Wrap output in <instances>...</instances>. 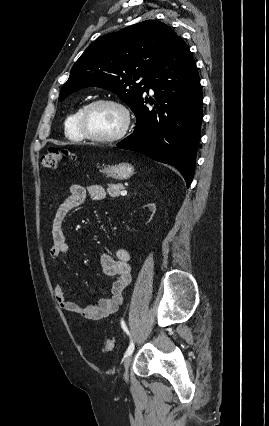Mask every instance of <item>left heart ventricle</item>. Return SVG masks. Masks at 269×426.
Instances as JSON below:
<instances>
[{
    "instance_id": "1",
    "label": "left heart ventricle",
    "mask_w": 269,
    "mask_h": 426,
    "mask_svg": "<svg viewBox=\"0 0 269 426\" xmlns=\"http://www.w3.org/2000/svg\"><path fill=\"white\" fill-rule=\"evenodd\" d=\"M121 112L110 105H97L92 107L86 118L88 130L100 136L116 133L122 126Z\"/></svg>"
}]
</instances>
